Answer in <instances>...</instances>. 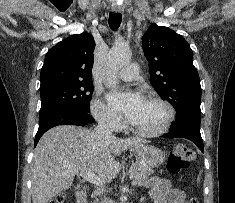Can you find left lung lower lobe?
I'll return each instance as SVG.
<instances>
[{
	"label": "left lung lower lobe",
	"instance_id": "obj_1",
	"mask_svg": "<svg viewBox=\"0 0 235 203\" xmlns=\"http://www.w3.org/2000/svg\"><path fill=\"white\" fill-rule=\"evenodd\" d=\"M162 137L164 138H186L196 144L204 152L203 140L200 134V120L196 118H185L176 121L171 131Z\"/></svg>",
	"mask_w": 235,
	"mask_h": 203
}]
</instances>
